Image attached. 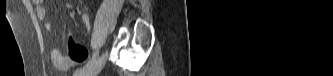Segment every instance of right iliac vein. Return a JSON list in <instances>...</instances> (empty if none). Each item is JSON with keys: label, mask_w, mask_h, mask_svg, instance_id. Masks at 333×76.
Returning a JSON list of instances; mask_svg holds the SVG:
<instances>
[{"label": "right iliac vein", "mask_w": 333, "mask_h": 76, "mask_svg": "<svg viewBox=\"0 0 333 76\" xmlns=\"http://www.w3.org/2000/svg\"><path fill=\"white\" fill-rule=\"evenodd\" d=\"M106 55H102L95 64L88 70H86L81 76H95L105 65Z\"/></svg>", "instance_id": "63e3f726"}]
</instances>
